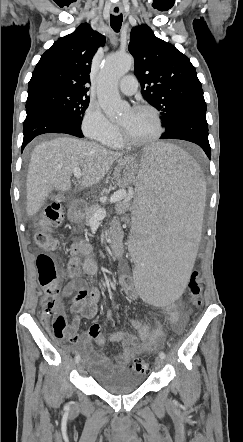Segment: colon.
I'll return each mask as SVG.
<instances>
[{
    "instance_id": "obj_1",
    "label": "colon",
    "mask_w": 243,
    "mask_h": 442,
    "mask_svg": "<svg viewBox=\"0 0 243 442\" xmlns=\"http://www.w3.org/2000/svg\"><path fill=\"white\" fill-rule=\"evenodd\" d=\"M64 220L62 206L57 200H50L44 209L43 217L34 227L33 238L36 245L45 253H50L57 249L58 240L52 235L51 229L58 227ZM130 213H120L119 221L123 226L129 227L131 224ZM38 279L41 287L44 288L42 320L44 324L51 325L54 336L62 339L69 336L67 332V322L63 314L56 313L57 298L59 295L58 273L53 259L47 255H40L37 258ZM202 269L196 266L192 269L188 279V296L194 306L200 304L203 298L202 283L200 281ZM131 370L134 373L145 375L152 370L150 361L142 357H133Z\"/></svg>"
}]
</instances>
